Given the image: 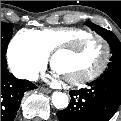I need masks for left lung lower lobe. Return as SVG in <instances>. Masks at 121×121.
Returning <instances> with one entry per match:
<instances>
[{
    "label": "left lung lower lobe",
    "instance_id": "0a47b994",
    "mask_svg": "<svg viewBox=\"0 0 121 121\" xmlns=\"http://www.w3.org/2000/svg\"><path fill=\"white\" fill-rule=\"evenodd\" d=\"M69 94L68 107L57 112L60 121H109L121 103V77L103 74L88 88Z\"/></svg>",
    "mask_w": 121,
    "mask_h": 121
}]
</instances>
